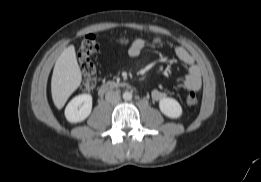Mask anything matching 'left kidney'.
Returning a JSON list of instances; mask_svg holds the SVG:
<instances>
[{
  "instance_id": "5707ae66",
  "label": "left kidney",
  "mask_w": 261,
  "mask_h": 182,
  "mask_svg": "<svg viewBox=\"0 0 261 182\" xmlns=\"http://www.w3.org/2000/svg\"><path fill=\"white\" fill-rule=\"evenodd\" d=\"M160 111L167 117L176 119L182 115V107L173 98H162L159 101Z\"/></svg>"
}]
</instances>
